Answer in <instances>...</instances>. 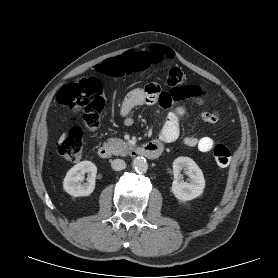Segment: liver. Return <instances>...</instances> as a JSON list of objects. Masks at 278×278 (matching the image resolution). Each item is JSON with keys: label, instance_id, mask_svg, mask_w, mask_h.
Returning a JSON list of instances; mask_svg holds the SVG:
<instances>
[{"label": "liver", "instance_id": "6515ba94", "mask_svg": "<svg viewBox=\"0 0 278 278\" xmlns=\"http://www.w3.org/2000/svg\"><path fill=\"white\" fill-rule=\"evenodd\" d=\"M65 139V134H62V136L59 139V143H61Z\"/></svg>", "mask_w": 278, "mask_h": 278}]
</instances>
